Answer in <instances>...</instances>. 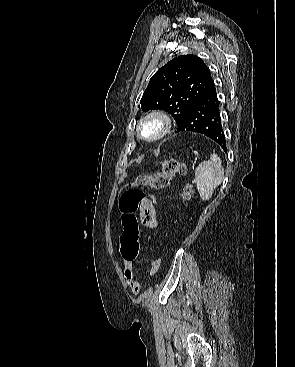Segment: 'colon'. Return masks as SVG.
Here are the masks:
<instances>
[{"mask_svg":"<svg viewBox=\"0 0 295 367\" xmlns=\"http://www.w3.org/2000/svg\"><path fill=\"white\" fill-rule=\"evenodd\" d=\"M186 173L187 166L184 162L176 159H166L162 162L158 171L150 175L138 176L124 187L119 199V207L122 213L121 223L123 226L121 235L122 251L127 258H133L138 253V223L135 212L140 201L144 197L147 201L151 200L149 203L153 206H158L161 203L157 193H149L147 196L144 195L143 189H164L169 186L176 174L185 175ZM192 192V186L186 184L181 192V199L183 201L189 200ZM159 265V260L152 262L154 269H158Z\"/></svg>","mask_w":295,"mask_h":367,"instance_id":"colon-1","label":"colon"}]
</instances>
